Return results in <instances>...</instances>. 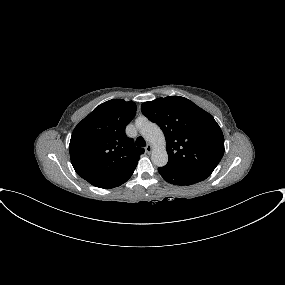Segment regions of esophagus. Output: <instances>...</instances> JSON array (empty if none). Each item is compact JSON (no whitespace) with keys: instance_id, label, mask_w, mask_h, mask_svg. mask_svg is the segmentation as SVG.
<instances>
[{"instance_id":"esophagus-1","label":"esophagus","mask_w":285,"mask_h":285,"mask_svg":"<svg viewBox=\"0 0 285 285\" xmlns=\"http://www.w3.org/2000/svg\"><path fill=\"white\" fill-rule=\"evenodd\" d=\"M145 151H146L147 153H151V152H152V145H151V144H148V145L146 146V148H145Z\"/></svg>"}]
</instances>
